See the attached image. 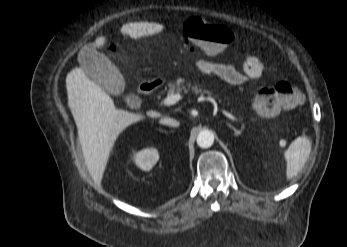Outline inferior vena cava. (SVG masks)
Instances as JSON below:
<instances>
[{
    "instance_id": "602c4592",
    "label": "inferior vena cava",
    "mask_w": 347,
    "mask_h": 247,
    "mask_svg": "<svg viewBox=\"0 0 347 247\" xmlns=\"http://www.w3.org/2000/svg\"><path fill=\"white\" fill-rule=\"evenodd\" d=\"M160 123L161 124H165V125H169V126H172V127H178L179 126V121L175 120V119H172L170 117H162L160 119Z\"/></svg>"
}]
</instances>
